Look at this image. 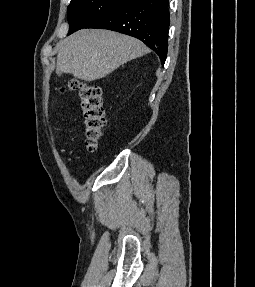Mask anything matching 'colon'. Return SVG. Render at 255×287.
I'll use <instances>...</instances> for the list:
<instances>
[{
	"mask_svg": "<svg viewBox=\"0 0 255 287\" xmlns=\"http://www.w3.org/2000/svg\"><path fill=\"white\" fill-rule=\"evenodd\" d=\"M68 88L79 93L86 148L94 152L106 123L101 88L78 79L70 80Z\"/></svg>",
	"mask_w": 255,
	"mask_h": 287,
	"instance_id": "colon-1",
	"label": "colon"
}]
</instances>
